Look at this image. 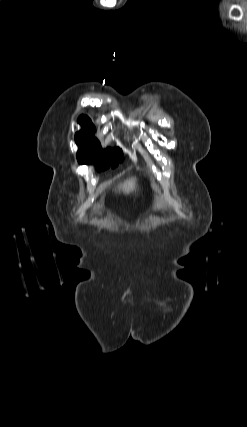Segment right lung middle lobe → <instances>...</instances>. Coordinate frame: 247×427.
<instances>
[{
	"label": "right lung middle lobe",
	"instance_id": "right-lung-middle-lobe-1",
	"mask_svg": "<svg viewBox=\"0 0 247 427\" xmlns=\"http://www.w3.org/2000/svg\"><path fill=\"white\" fill-rule=\"evenodd\" d=\"M95 129H82L75 135L76 144L79 146L77 159L80 164L95 162L98 171L109 167L115 168L118 162L123 161L120 148L103 150L99 141L94 137Z\"/></svg>",
	"mask_w": 247,
	"mask_h": 427
}]
</instances>
